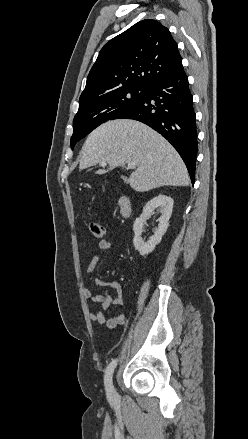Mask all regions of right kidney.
<instances>
[{
  "label": "right kidney",
  "instance_id": "1",
  "mask_svg": "<svg viewBox=\"0 0 248 439\" xmlns=\"http://www.w3.org/2000/svg\"><path fill=\"white\" fill-rule=\"evenodd\" d=\"M173 199L170 196L158 195L151 199L144 206L142 214L139 218H136L133 231L134 239L133 244L135 249L140 253V255L145 256L151 253L157 244L161 242L162 236L166 233L169 226V219L172 214L173 209ZM155 209H159L161 212V217L159 218L158 228L154 231V235L149 238L147 242L141 237L143 232V225L146 220L153 214Z\"/></svg>",
  "mask_w": 248,
  "mask_h": 439
}]
</instances>
